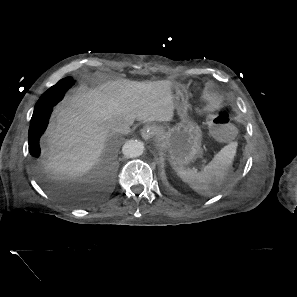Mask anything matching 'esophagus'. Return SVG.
I'll return each mask as SVG.
<instances>
[{
  "instance_id": "obj_1",
  "label": "esophagus",
  "mask_w": 297,
  "mask_h": 297,
  "mask_svg": "<svg viewBox=\"0 0 297 297\" xmlns=\"http://www.w3.org/2000/svg\"><path fill=\"white\" fill-rule=\"evenodd\" d=\"M157 133V129L153 126H144L141 129V136L144 140L151 139Z\"/></svg>"
}]
</instances>
